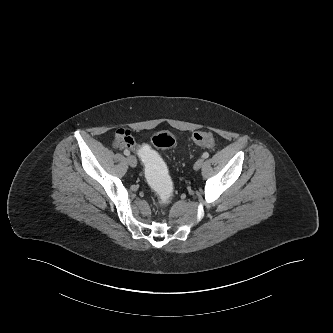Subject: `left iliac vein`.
<instances>
[{"instance_id": "obj_1", "label": "left iliac vein", "mask_w": 333, "mask_h": 333, "mask_svg": "<svg viewBox=\"0 0 333 333\" xmlns=\"http://www.w3.org/2000/svg\"><path fill=\"white\" fill-rule=\"evenodd\" d=\"M203 163H204V159H202V158L198 159L196 161V163L194 164V169L199 170L202 167Z\"/></svg>"}]
</instances>
